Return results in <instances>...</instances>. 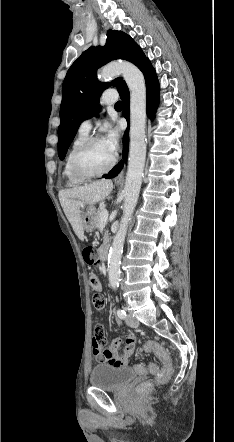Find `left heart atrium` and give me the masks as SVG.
<instances>
[{
    "mask_svg": "<svg viewBox=\"0 0 234 442\" xmlns=\"http://www.w3.org/2000/svg\"><path fill=\"white\" fill-rule=\"evenodd\" d=\"M108 150L114 155L118 148L119 133L117 128L107 126L105 129V136L102 138Z\"/></svg>",
    "mask_w": 234,
    "mask_h": 442,
    "instance_id": "obj_1",
    "label": "left heart atrium"
}]
</instances>
